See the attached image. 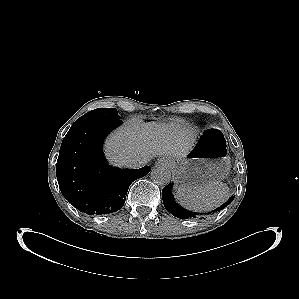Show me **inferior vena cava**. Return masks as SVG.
Segmentation results:
<instances>
[{
  "label": "inferior vena cava",
  "instance_id": "602c4592",
  "mask_svg": "<svg viewBox=\"0 0 299 299\" xmlns=\"http://www.w3.org/2000/svg\"><path fill=\"white\" fill-rule=\"evenodd\" d=\"M150 159L145 157V158H134V159H131L127 162V167H130V168H141L143 166H145L147 164V162L149 161Z\"/></svg>",
  "mask_w": 299,
  "mask_h": 299
}]
</instances>
